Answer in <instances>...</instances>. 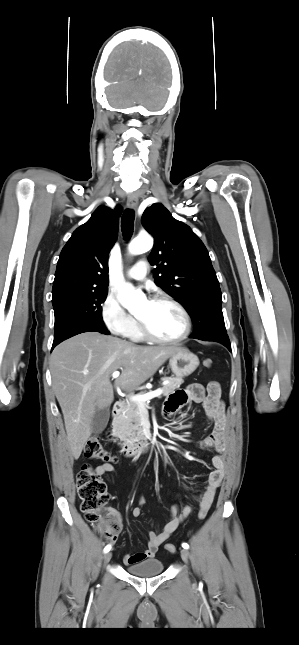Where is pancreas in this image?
<instances>
[{
    "label": "pancreas",
    "mask_w": 299,
    "mask_h": 645,
    "mask_svg": "<svg viewBox=\"0 0 299 645\" xmlns=\"http://www.w3.org/2000/svg\"><path fill=\"white\" fill-rule=\"evenodd\" d=\"M163 380L168 381V384L160 388L164 396H168L184 382L180 377H166ZM144 393L141 392V394ZM113 431L124 444H132L144 439L139 403L132 401L131 397L124 405V413L115 418Z\"/></svg>",
    "instance_id": "cf45deb5"
}]
</instances>
